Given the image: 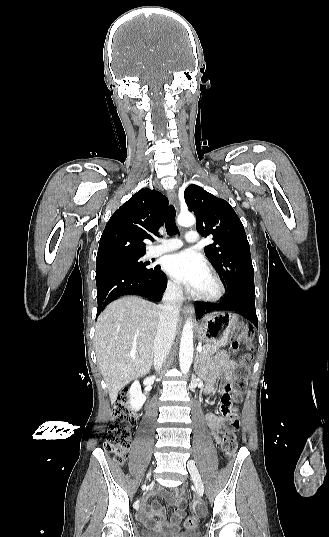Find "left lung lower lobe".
<instances>
[{"instance_id": "obj_1", "label": "left lung lower lobe", "mask_w": 329, "mask_h": 537, "mask_svg": "<svg viewBox=\"0 0 329 537\" xmlns=\"http://www.w3.org/2000/svg\"><path fill=\"white\" fill-rule=\"evenodd\" d=\"M196 311L199 315L216 311L235 312L242 315L254 326H258L255 308V290H236L233 293H228L219 303L198 302L196 304Z\"/></svg>"}]
</instances>
